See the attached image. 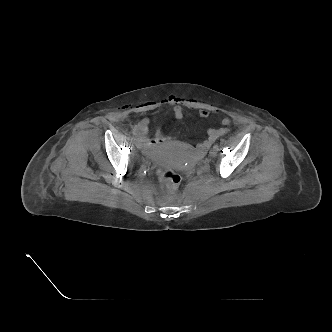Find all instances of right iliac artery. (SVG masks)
<instances>
[{
  "label": "right iliac artery",
  "instance_id": "obj_1",
  "mask_svg": "<svg viewBox=\"0 0 332 332\" xmlns=\"http://www.w3.org/2000/svg\"><path fill=\"white\" fill-rule=\"evenodd\" d=\"M132 133H133L134 135H140V132L138 131L137 128L132 129Z\"/></svg>",
  "mask_w": 332,
  "mask_h": 332
}]
</instances>
